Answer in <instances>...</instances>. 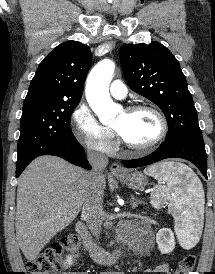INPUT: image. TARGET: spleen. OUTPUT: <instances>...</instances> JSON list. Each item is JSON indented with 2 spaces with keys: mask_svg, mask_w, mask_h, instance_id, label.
Here are the masks:
<instances>
[{
  "mask_svg": "<svg viewBox=\"0 0 215 274\" xmlns=\"http://www.w3.org/2000/svg\"><path fill=\"white\" fill-rule=\"evenodd\" d=\"M158 179L151 204L160 208L168 204L175 220V231L180 242L194 245L199 240L204 215V190L198 177L182 163L165 162L144 170ZM166 182V185L162 183Z\"/></svg>",
  "mask_w": 215,
  "mask_h": 274,
  "instance_id": "3e777b00",
  "label": "spleen"
}]
</instances>
